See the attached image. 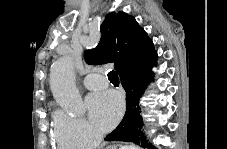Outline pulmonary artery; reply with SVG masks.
<instances>
[{
    "label": "pulmonary artery",
    "instance_id": "e3ab8cb5",
    "mask_svg": "<svg viewBox=\"0 0 227 149\" xmlns=\"http://www.w3.org/2000/svg\"><path fill=\"white\" fill-rule=\"evenodd\" d=\"M84 85L90 90H100L108 85V81L103 75L89 73L84 79Z\"/></svg>",
    "mask_w": 227,
    "mask_h": 149
}]
</instances>
